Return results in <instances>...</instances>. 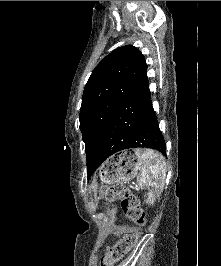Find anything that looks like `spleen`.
Wrapping results in <instances>:
<instances>
[{"label": "spleen", "instance_id": "obj_1", "mask_svg": "<svg viewBox=\"0 0 221 266\" xmlns=\"http://www.w3.org/2000/svg\"><path fill=\"white\" fill-rule=\"evenodd\" d=\"M135 154L141 162V175L138 178V185L149 187L157 185L158 180L166 176V163L163 157L151 149H136Z\"/></svg>", "mask_w": 221, "mask_h": 266}]
</instances>
